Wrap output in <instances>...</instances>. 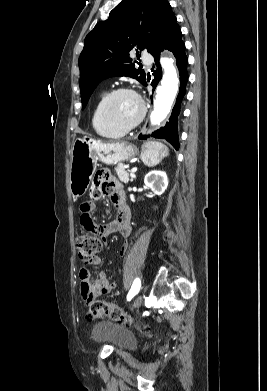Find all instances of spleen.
Listing matches in <instances>:
<instances>
[{
  "instance_id": "obj_1",
  "label": "spleen",
  "mask_w": 267,
  "mask_h": 391,
  "mask_svg": "<svg viewBox=\"0 0 267 391\" xmlns=\"http://www.w3.org/2000/svg\"><path fill=\"white\" fill-rule=\"evenodd\" d=\"M169 149L160 142H146L142 147L141 160L148 167L159 164L163 158L167 157Z\"/></svg>"
}]
</instances>
